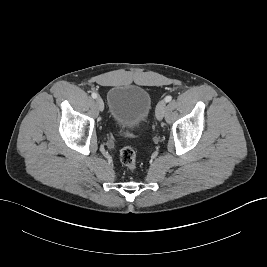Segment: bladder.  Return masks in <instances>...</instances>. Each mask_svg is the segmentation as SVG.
I'll return each mask as SVG.
<instances>
[{"label": "bladder", "instance_id": "1", "mask_svg": "<svg viewBox=\"0 0 267 267\" xmlns=\"http://www.w3.org/2000/svg\"><path fill=\"white\" fill-rule=\"evenodd\" d=\"M111 120L116 126L134 130L148 120L152 108L149 92L137 85H116L107 94Z\"/></svg>", "mask_w": 267, "mask_h": 267}]
</instances>
